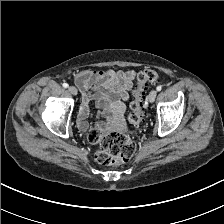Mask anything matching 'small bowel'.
<instances>
[{
    "mask_svg": "<svg viewBox=\"0 0 224 224\" xmlns=\"http://www.w3.org/2000/svg\"><path fill=\"white\" fill-rule=\"evenodd\" d=\"M135 78L134 71L83 70L75 75V83L82 94V105L78 114V126L85 129L91 114L90 103L96 101L99 107L111 112L113 104H120L129 98Z\"/></svg>",
    "mask_w": 224,
    "mask_h": 224,
    "instance_id": "small-bowel-1",
    "label": "small bowel"
}]
</instances>
